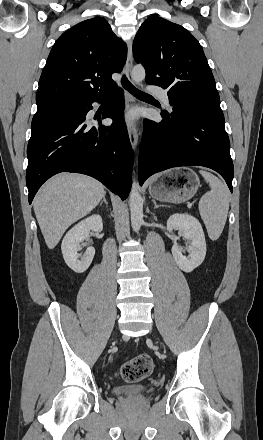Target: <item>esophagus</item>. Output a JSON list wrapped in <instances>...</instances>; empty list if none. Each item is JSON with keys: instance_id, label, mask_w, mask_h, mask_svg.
I'll use <instances>...</instances> for the list:
<instances>
[{"instance_id": "1", "label": "esophagus", "mask_w": 263, "mask_h": 440, "mask_svg": "<svg viewBox=\"0 0 263 440\" xmlns=\"http://www.w3.org/2000/svg\"><path fill=\"white\" fill-rule=\"evenodd\" d=\"M132 66H133L132 42L128 41L127 61H126L125 71L129 79H131ZM126 96H127V110L130 111L134 107V98L130 93H126ZM128 135L131 146L133 150L136 151L138 145V130L134 122H128Z\"/></svg>"}]
</instances>
